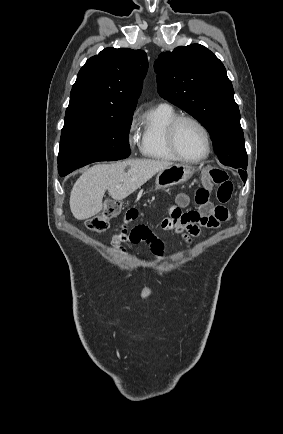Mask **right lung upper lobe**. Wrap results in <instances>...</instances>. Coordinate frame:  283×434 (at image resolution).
Instances as JSON below:
<instances>
[{"mask_svg":"<svg viewBox=\"0 0 283 434\" xmlns=\"http://www.w3.org/2000/svg\"><path fill=\"white\" fill-rule=\"evenodd\" d=\"M147 69L142 50L104 49L80 69L65 119L133 114Z\"/></svg>","mask_w":283,"mask_h":434,"instance_id":"cb5924a9","label":"right lung upper lobe"}]
</instances>
